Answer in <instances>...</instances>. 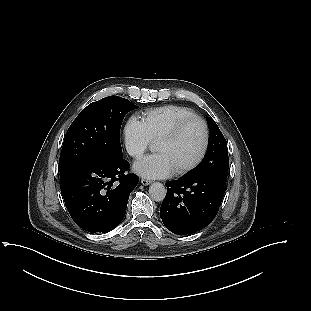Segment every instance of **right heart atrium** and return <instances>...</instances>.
<instances>
[{
    "instance_id": "obj_1",
    "label": "right heart atrium",
    "mask_w": 311,
    "mask_h": 311,
    "mask_svg": "<svg viewBox=\"0 0 311 311\" xmlns=\"http://www.w3.org/2000/svg\"><path fill=\"white\" fill-rule=\"evenodd\" d=\"M123 135L126 150L134 159L141 158L152 143L143 122L136 117L127 120Z\"/></svg>"
}]
</instances>
